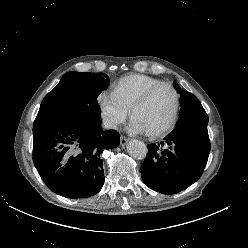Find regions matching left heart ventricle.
Masks as SVG:
<instances>
[{
	"label": "left heart ventricle",
	"instance_id": "1",
	"mask_svg": "<svg viewBox=\"0 0 248 248\" xmlns=\"http://www.w3.org/2000/svg\"><path fill=\"white\" fill-rule=\"evenodd\" d=\"M174 102L173 91L169 87H162L135 114L133 121L138 123L146 133L155 132L169 121L173 112Z\"/></svg>",
	"mask_w": 248,
	"mask_h": 248
}]
</instances>
